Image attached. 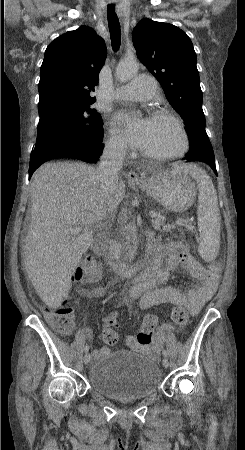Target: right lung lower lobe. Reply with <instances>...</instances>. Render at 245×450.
<instances>
[{"instance_id": "1", "label": "right lung lower lobe", "mask_w": 245, "mask_h": 450, "mask_svg": "<svg viewBox=\"0 0 245 450\" xmlns=\"http://www.w3.org/2000/svg\"><path fill=\"white\" fill-rule=\"evenodd\" d=\"M103 149V144L100 142L95 145H76L67 146L57 150L48 152H38L31 153V160L29 166V179L31 178L33 172L44 162L60 158V157H71L85 162L93 163L97 162L100 153Z\"/></svg>"}]
</instances>
